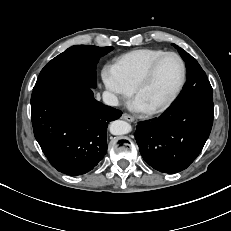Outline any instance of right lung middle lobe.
I'll return each instance as SVG.
<instances>
[{
    "label": "right lung middle lobe",
    "mask_w": 231,
    "mask_h": 231,
    "mask_svg": "<svg viewBox=\"0 0 231 231\" xmlns=\"http://www.w3.org/2000/svg\"><path fill=\"white\" fill-rule=\"evenodd\" d=\"M112 47L76 45L52 59L40 72L34 90L64 84H79L95 88L96 65Z\"/></svg>",
    "instance_id": "obj_1"
}]
</instances>
